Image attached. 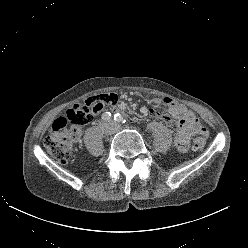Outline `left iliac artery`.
Segmentation results:
<instances>
[{
	"mask_svg": "<svg viewBox=\"0 0 248 248\" xmlns=\"http://www.w3.org/2000/svg\"><path fill=\"white\" fill-rule=\"evenodd\" d=\"M114 120L120 123H126V118L120 113L114 115Z\"/></svg>",
	"mask_w": 248,
	"mask_h": 248,
	"instance_id": "44dca946",
	"label": "left iliac artery"
}]
</instances>
